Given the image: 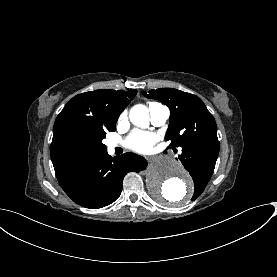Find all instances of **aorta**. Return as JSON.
I'll use <instances>...</instances> for the list:
<instances>
[{
	"label": "aorta",
	"instance_id": "1",
	"mask_svg": "<svg viewBox=\"0 0 277 277\" xmlns=\"http://www.w3.org/2000/svg\"><path fill=\"white\" fill-rule=\"evenodd\" d=\"M129 117L138 127L149 125V113L144 105L133 106ZM146 176L150 194L161 204L184 205L193 194L192 180L187 171L179 161L168 156L153 158Z\"/></svg>",
	"mask_w": 277,
	"mask_h": 277
}]
</instances>
